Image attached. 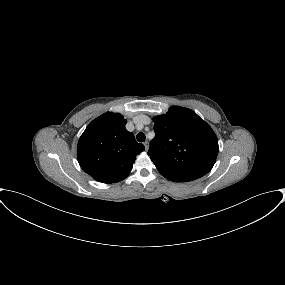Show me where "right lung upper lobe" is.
Returning <instances> with one entry per match:
<instances>
[{"mask_svg": "<svg viewBox=\"0 0 285 285\" xmlns=\"http://www.w3.org/2000/svg\"><path fill=\"white\" fill-rule=\"evenodd\" d=\"M119 113L107 112L93 120L81 135L77 158L81 168L102 183H116L132 170L136 156L145 150Z\"/></svg>", "mask_w": 285, "mask_h": 285, "instance_id": "obj_1", "label": "right lung upper lobe"}]
</instances>
